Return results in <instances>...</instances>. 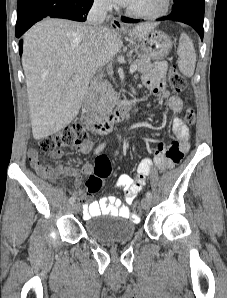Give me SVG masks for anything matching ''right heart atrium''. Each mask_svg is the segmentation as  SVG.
Returning a JSON list of instances; mask_svg holds the SVG:
<instances>
[{
	"mask_svg": "<svg viewBox=\"0 0 227 298\" xmlns=\"http://www.w3.org/2000/svg\"><path fill=\"white\" fill-rule=\"evenodd\" d=\"M95 3L98 7L106 9L110 5V0H95Z\"/></svg>",
	"mask_w": 227,
	"mask_h": 298,
	"instance_id": "d8ad5b80",
	"label": "right heart atrium"
}]
</instances>
